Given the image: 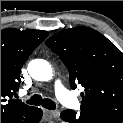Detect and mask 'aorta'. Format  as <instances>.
<instances>
[{
	"label": "aorta",
	"instance_id": "1",
	"mask_svg": "<svg viewBox=\"0 0 123 123\" xmlns=\"http://www.w3.org/2000/svg\"><path fill=\"white\" fill-rule=\"evenodd\" d=\"M27 69L30 76L37 81H48L52 79V68L44 59H34L30 61Z\"/></svg>",
	"mask_w": 123,
	"mask_h": 123
}]
</instances>
